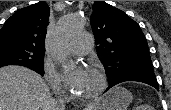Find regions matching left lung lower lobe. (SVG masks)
I'll list each match as a JSON object with an SVG mask.
<instances>
[{
    "mask_svg": "<svg viewBox=\"0 0 171 110\" xmlns=\"http://www.w3.org/2000/svg\"><path fill=\"white\" fill-rule=\"evenodd\" d=\"M124 81H138V82H143L146 84H149L153 87H155L158 90V82L156 80V77H151V76H129V77H125L122 78L114 83L109 84V87L107 88L110 89L111 87L115 86L118 83L124 82Z\"/></svg>",
    "mask_w": 171,
    "mask_h": 110,
    "instance_id": "1",
    "label": "left lung lower lobe"
}]
</instances>
